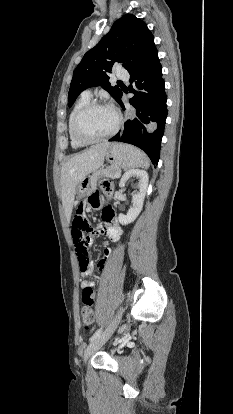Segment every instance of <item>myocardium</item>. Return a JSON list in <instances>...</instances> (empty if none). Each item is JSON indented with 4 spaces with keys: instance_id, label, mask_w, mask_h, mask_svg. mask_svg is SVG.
Segmentation results:
<instances>
[{
    "instance_id": "1",
    "label": "myocardium",
    "mask_w": 233,
    "mask_h": 414,
    "mask_svg": "<svg viewBox=\"0 0 233 414\" xmlns=\"http://www.w3.org/2000/svg\"><path fill=\"white\" fill-rule=\"evenodd\" d=\"M94 108H108V109H111L115 114L116 122H115V125H114L113 129L109 133H107L103 136L96 137V138L85 137V136L81 135L80 132H79V123H80L81 118L88 111H90L91 109H94ZM121 124H122V116L114 107H112L108 104L99 102V101H90L87 104H85L78 111V113L76 114V116L73 120V124H72V134H73V137L75 138V140H77L80 143H83V144L98 143V142L108 140V139L112 138L114 135H116L118 133L120 127H121Z\"/></svg>"
}]
</instances>
